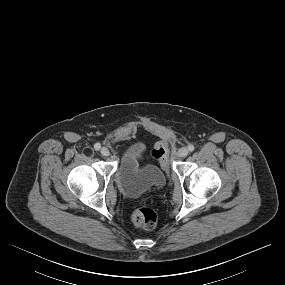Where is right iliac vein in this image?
I'll list each match as a JSON object with an SVG mask.
<instances>
[{"label":"right iliac vein","mask_w":285,"mask_h":285,"mask_svg":"<svg viewBox=\"0 0 285 285\" xmlns=\"http://www.w3.org/2000/svg\"><path fill=\"white\" fill-rule=\"evenodd\" d=\"M100 153H101L102 156H105V157L110 155V151H109V149L107 147H102L100 149Z\"/></svg>","instance_id":"obj_1"}]
</instances>
